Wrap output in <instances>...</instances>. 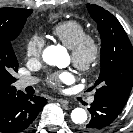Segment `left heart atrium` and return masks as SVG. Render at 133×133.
<instances>
[{"instance_id":"39dd6f15","label":"left heart atrium","mask_w":133,"mask_h":133,"mask_svg":"<svg viewBox=\"0 0 133 133\" xmlns=\"http://www.w3.org/2000/svg\"><path fill=\"white\" fill-rule=\"evenodd\" d=\"M74 79L70 71H60L49 77L48 83L53 87H60L63 84L72 82Z\"/></svg>"}]
</instances>
